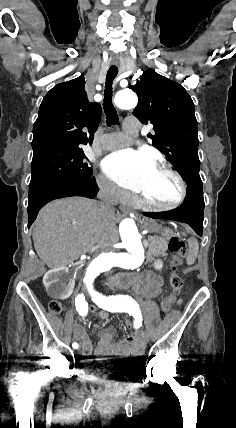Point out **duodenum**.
Here are the masks:
<instances>
[{"label": "duodenum", "instance_id": "duodenum-1", "mask_svg": "<svg viewBox=\"0 0 236 428\" xmlns=\"http://www.w3.org/2000/svg\"><path fill=\"white\" fill-rule=\"evenodd\" d=\"M139 279H140V276L134 273H125V274H121L113 277L110 280L109 285L115 289H124V288L134 286Z\"/></svg>", "mask_w": 236, "mask_h": 428}]
</instances>
